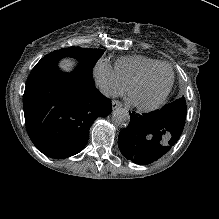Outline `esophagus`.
Masks as SVG:
<instances>
[{
  "label": "esophagus",
  "mask_w": 219,
  "mask_h": 219,
  "mask_svg": "<svg viewBox=\"0 0 219 219\" xmlns=\"http://www.w3.org/2000/svg\"><path fill=\"white\" fill-rule=\"evenodd\" d=\"M111 103H112V108L113 109H116L117 107L122 106L121 102L118 101V100H112Z\"/></svg>",
  "instance_id": "1"
}]
</instances>
